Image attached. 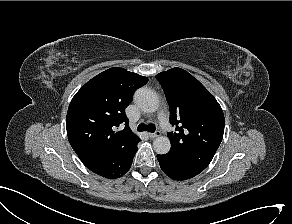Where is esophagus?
<instances>
[{"instance_id":"1","label":"esophagus","mask_w":292,"mask_h":224,"mask_svg":"<svg viewBox=\"0 0 292 224\" xmlns=\"http://www.w3.org/2000/svg\"><path fill=\"white\" fill-rule=\"evenodd\" d=\"M159 135H160V132H159V131L154 132V133H148V136H149L150 138H156V137H158Z\"/></svg>"}]
</instances>
